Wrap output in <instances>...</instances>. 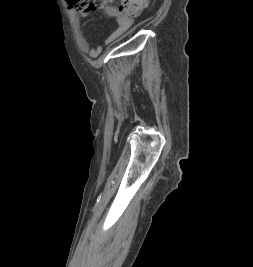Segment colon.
<instances>
[{
  "mask_svg": "<svg viewBox=\"0 0 253 267\" xmlns=\"http://www.w3.org/2000/svg\"><path fill=\"white\" fill-rule=\"evenodd\" d=\"M110 0H65L66 7L76 12H90L103 8ZM148 0H120L119 9L129 17L139 16L147 7Z\"/></svg>",
  "mask_w": 253,
  "mask_h": 267,
  "instance_id": "1",
  "label": "colon"
}]
</instances>
